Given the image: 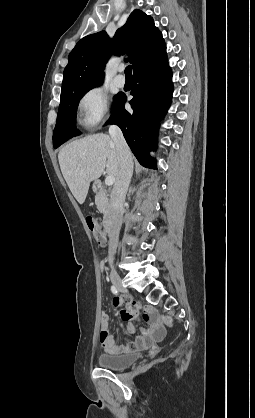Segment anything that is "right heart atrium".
Returning <instances> with one entry per match:
<instances>
[{
  "label": "right heart atrium",
  "instance_id": "d8ad5b80",
  "mask_svg": "<svg viewBox=\"0 0 255 418\" xmlns=\"http://www.w3.org/2000/svg\"><path fill=\"white\" fill-rule=\"evenodd\" d=\"M109 112L106 92L94 86L88 89L78 102V122L85 128H94L100 124Z\"/></svg>",
  "mask_w": 255,
  "mask_h": 418
}]
</instances>
